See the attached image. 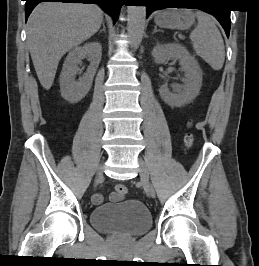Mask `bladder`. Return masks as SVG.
I'll return each instance as SVG.
<instances>
[{"label":"bladder","instance_id":"obj_1","mask_svg":"<svg viewBox=\"0 0 259 266\" xmlns=\"http://www.w3.org/2000/svg\"><path fill=\"white\" fill-rule=\"evenodd\" d=\"M90 223L102 233L139 236L151 228L152 216L141 201L129 199L116 205L94 208L90 214Z\"/></svg>","mask_w":259,"mask_h":266}]
</instances>
